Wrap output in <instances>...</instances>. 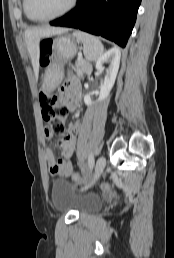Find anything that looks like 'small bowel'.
I'll list each match as a JSON object with an SVG mask.
<instances>
[{
	"label": "small bowel",
	"instance_id": "small-bowel-1",
	"mask_svg": "<svg viewBox=\"0 0 174 258\" xmlns=\"http://www.w3.org/2000/svg\"><path fill=\"white\" fill-rule=\"evenodd\" d=\"M78 92H79V83L75 79H71L67 86L66 96L64 99L65 104L71 111H75L78 107ZM80 122L77 121L73 123L64 136L62 140V150L65 157L70 158L74 155L75 152V135L80 129ZM45 137L49 140L52 137V134L45 128ZM46 160L49 170L55 175H66L71 176L73 172V164L71 161L56 159L54 152L51 148L46 150ZM72 178V176H71Z\"/></svg>",
	"mask_w": 174,
	"mask_h": 258
}]
</instances>
